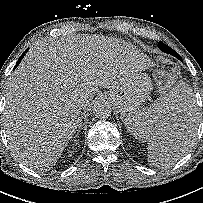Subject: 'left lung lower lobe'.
<instances>
[{
    "label": "left lung lower lobe",
    "mask_w": 203,
    "mask_h": 203,
    "mask_svg": "<svg viewBox=\"0 0 203 203\" xmlns=\"http://www.w3.org/2000/svg\"><path fill=\"white\" fill-rule=\"evenodd\" d=\"M162 51H164V52H166V53H171V51L167 48V47H165V46H163V47H159Z\"/></svg>",
    "instance_id": "left-lung-lower-lobe-1"
}]
</instances>
